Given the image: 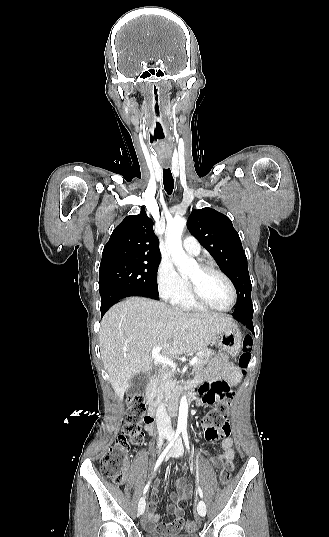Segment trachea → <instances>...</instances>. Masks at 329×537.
Returning a JSON list of instances; mask_svg holds the SVG:
<instances>
[{"label":"trachea","mask_w":329,"mask_h":537,"mask_svg":"<svg viewBox=\"0 0 329 537\" xmlns=\"http://www.w3.org/2000/svg\"><path fill=\"white\" fill-rule=\"evenodd\" d=\"M163 183L165 191L168 195H171L174 187V180L170 168L163 169Z\"/></svg>","instance_id":"trachea-1"}]
</instances>
